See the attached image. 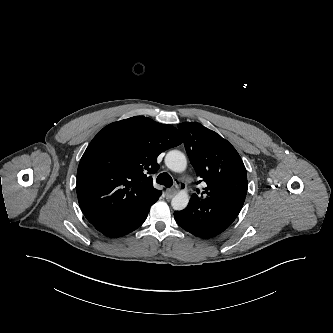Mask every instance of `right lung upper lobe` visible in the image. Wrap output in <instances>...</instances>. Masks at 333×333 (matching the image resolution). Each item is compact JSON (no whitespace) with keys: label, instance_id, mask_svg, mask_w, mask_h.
I'll list each match as a JSON object with an SVG mask.
<instances>
[{"label":"right lung upper lobe","instance_id":"1","mask_svg":"<svg viewBox=\"0 0 333 333\" xmlns=\"http://www.w3.org/2000/svg\"><path fill=\"white\" fill-rule=\"evenodd\" d=\"M182 143L179 131L135 116L104 127L90 142L77 170L79 205L88 221L128 216L161 195L149 175L158 155Z\"/></svg>","mask_w":333,"mask_h":333}]
</instances>
